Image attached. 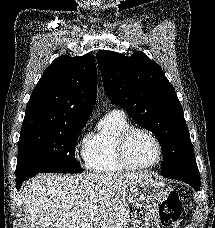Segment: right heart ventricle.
<instances>
[{
  "label": "right heart ventricle",
  "instance_id": "1",
  "mask_svg": "<svg viewBox=\"0 0 215 228\" xmlns=\"http://www.w3.org/2000/svg\"><path fill=\"white\" fill-rule=\"evenodd\" d=\"M130 126L123 111L112 110L103 117L98 129L89 134L83 143L82 155L90 171L103 174L126 171L117 157L116 141Z\"/></svg>",
  "mask_w": 215,
  "mask_h": 228
}]
</instances>
